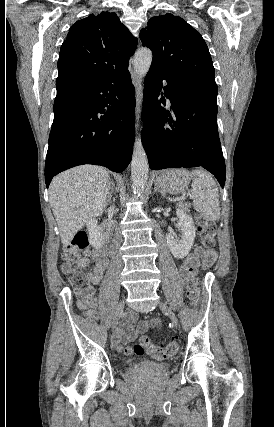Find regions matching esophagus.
I'll return each instance as SVG.
<instances>
[{
    "instance_id": "obj_1",
    "label": "esophagus",
    "mask_w": 274,
    "mask_h": 427,
    "mask_svg": "<svg viewBox=\"0 0 274 427\" xmlns=\"http://www.w3.org/2000/svg\"><path fill=\"white\" fill-rule=\"evenodd\" d=\"M131 78H132L133 84L135 86V91H136V101H137L136 120L139 123L140 113H141L140 105H141V101H142V80L134 72L131 73Z\"/></svg>"
}]
</instances>
